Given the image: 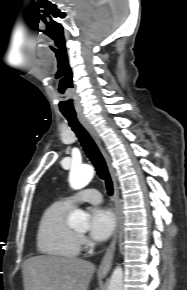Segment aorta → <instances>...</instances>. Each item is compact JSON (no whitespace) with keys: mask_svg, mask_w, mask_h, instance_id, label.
I'll use <instances>...</instances> for the list:
<instances>
[{"mask_svg":"<svg viewBox=\"0 0 187 290\" xmlns=\"http://www.w3.org/2000/svg\"><path fill=\"white\" fill-rule=\"evenodd\" d=\"M94 169L89 165L74 166L69 175L70 186L79 190L84 188L93 179ZM68 223L72 228H89V215L83 210H74ZM108 290H123V270L120 266H117L110 278Z\"/></svg>","mask_w":187,"mask_h":290,"instance_id":"obj_1","label":"aorta"}]
</instances>
